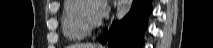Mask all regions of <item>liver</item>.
Instances as JSON below:
<instances>
[{
	"mask_svg": "<svg viewBox=\"0 0 213 48\" xmlns=\"http://www.w3.org/2000/svg\"><path fill=\"white\" fill-rule=\"evenodd\" d=\"M68 48H96V47H95V45H92V44L80 43V44L71 45V47H68Z\"/></svg>",
	"mask_w": 213,
	"mask_h": 48,
	"instance_id": "obj_1",
	"label": "liver"
}]
</instances>
